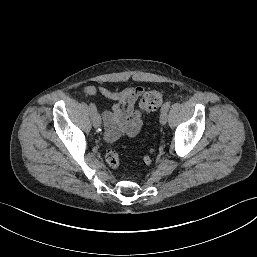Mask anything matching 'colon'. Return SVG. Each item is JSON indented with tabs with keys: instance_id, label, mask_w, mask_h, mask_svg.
<instances>
[{
	"instance_id": "obj_1",
	"label": "colon",
	"mask_w": 257,
	"mask_h": 257,
	"mask_svg": "<svg viewBox=\"0 0 257 257\" xmlns=\"http://www.w3.org/2000/svg\"><path fill=\"white\" fill-rule=\"evenodd\" d=\"M162 101H163V93L161 91H158V90L149 91V92H146L143 98L141 99L140 107L144 111L152 112V111H155L162 104ZM105 160L111 168L117 169L119 167V164H120L119 155L114 148L108 147L106 149ZM144 163L150 164L151 157L146 156L144 158Z\"/></svg>"
}]
</instances>
